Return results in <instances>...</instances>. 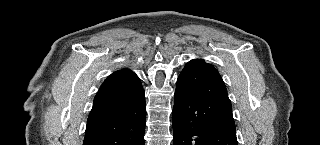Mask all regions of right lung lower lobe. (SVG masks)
<instances>
[{
	"mask_svg": "<svg viewBox=\"0 0 320 145\" xmlns=\"http://www.w3.org/2000/svg\"><path fill=\"white\" fill-rule=\"evenodd\" d=\"M108 100L91 110L83 145H144L145 93L137 76L107 86Z\"/></svg>",
	"mask_w": 320,
	"mask_h": 145,
	"instance_id": "1",
	"label": "right lung lower lobe"
}]
</instances>
